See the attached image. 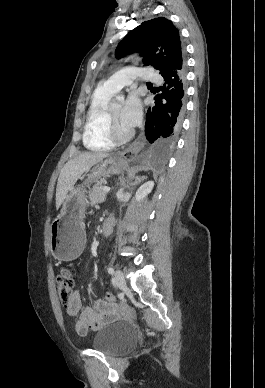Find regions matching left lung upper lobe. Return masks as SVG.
Listing matches in <instances>:
<instances>
[{"label":"left lung upper lobe","instance_id":"obj_1","mask_svg":"<svg viewBox=\"0 0 265 388\" xmlns=\"http://www.w3.org/2000/svg\"><path fill=\"white\" fill-rule=\"evenodd\" d=\"M134 51L145 55V65H152L162 76L185 66L179 31L164 17L136 27L118 44L115 53L120 58Z\"/></svg>","mask_w":265,"mask_h":388}]
</instances>
